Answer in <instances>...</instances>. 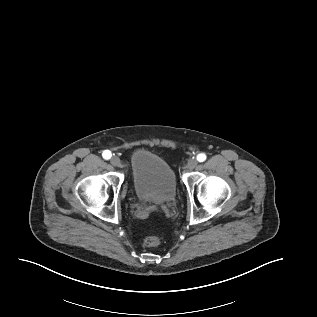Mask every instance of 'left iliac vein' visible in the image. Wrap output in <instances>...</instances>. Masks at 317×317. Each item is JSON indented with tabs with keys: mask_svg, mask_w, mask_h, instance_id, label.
Masks as SVG:
<instances>
[{
	"mask_svg": "<svg viewBox=\"0 0 317 317\" xmlns=\"http://www.w3.org/2000/svg\"><path fill=\"white\" fill-rule=\"evenodd\" d=\"M197 166V160L196 159H189L186 168L188 170H193Z\"/></svg>",
	"mask_w": 317,
	"mask_h": 317,
	"instance_id": "4c4485c4",
	"label": "left iliac vein"
}]
</instances>
